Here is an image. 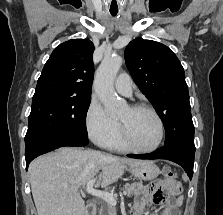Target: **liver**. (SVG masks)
I'll return each mask as SVG.
<instances>
[{"label": "liver", "mask_w": 223, "mask_h": 215, "mask_svg": "<svg viewBox=\"0 0 223 215\" xmlns=\"http://www.w3.org/2000/svg\"><path fill=\"white\" fill-rule=\"evenodd\" d=\"M143 161L78 147H61L57 153L40 155L29 165L38 215H83L85 201L78 191L80 185L98 173L97 187H106L123 175L124 163L133 167Z\"/></svg>", "instance_id": "obj_1"}]
</instances>
